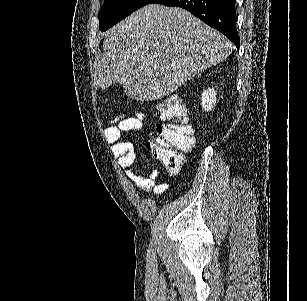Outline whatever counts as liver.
<instances>
[{"label": "liver", "mask_w": 307, "mask_h": 301, "mask_svg": "<svg viewBox=\"0 0 307 301\" xmlns=\"http://www.w3.org/2000/svg\"><path fill=\"white\" fill-rule=\"evenodd\" d=\"M98 86L120 82L129 98L158 100L223 62L234 46L219 30L179 6L146 4L102 32Z\"/></svg>", "instance_id": "obj_1"}]
</instances>
